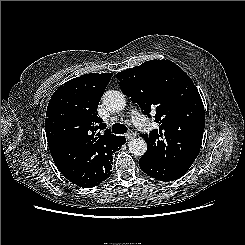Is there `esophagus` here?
Here are the masks:
<instances>
[{"instance_id": "34e87169", "label": "esophagus", "mask_w": 245, "mask_h": 245, "mask_svg": "<svg viewBox=\"0 0 245 245\" xmlns=\"http://www.w3.org/2000/svg\"><path fill=\"white\" fill-rule=\"evenodd\" d=\"M136 134L133 132V131H128L126 134H125V138L127 140H130V139H133L135 138Z\"/></svg>"}]
</instances>
